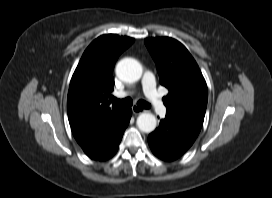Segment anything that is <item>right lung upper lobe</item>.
Masks as SVG:
<instances>
[{
	"label": "right lung upper lobe",
	"instance_id": "right-lung-upper-lobe-1",
	"mask_svg": "<svg viewBox=\"0 0 272 198\" xmlns=\"http://www.w3.org/2000/svg\"><path fill=\"white\" fill-rule=\"evenodd\" d=\"M134 42L133 38L113 34L95 39L83 53L72 76L67 111L77 142L86 139L122 107L110 105L113 68L119 55Z\"/></svg>",
	"mask_w": 272,
	"mask_h": 198
}]
</instances>
